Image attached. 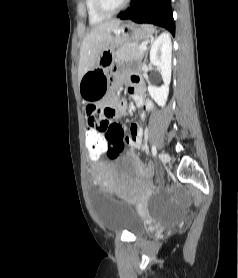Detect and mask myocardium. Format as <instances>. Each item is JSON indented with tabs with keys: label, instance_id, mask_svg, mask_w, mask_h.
<instances>
[{
	"label": "myocardium",
	"instance_id": "f54148a6",
	"mask_svg": "<svg viewBox=\"0 0 238 278\" xmlns=\"http://www.w3.org/2000/svg\"><path fill=\"white\" fill-rule=\"evenodd\" d=\"M128 2L129 0H123L118 6L111 8L105 0H94V7L98 14L109 17L123 10Z\"/></svg>",
	"mask_w": 238,
	"mask_h": 278
}]
</instances>
